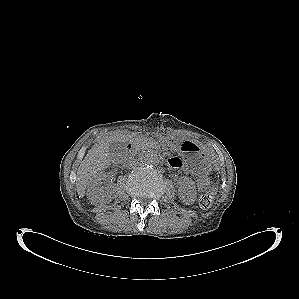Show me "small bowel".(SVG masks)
<instances>
[{"instance_id": "obj_1", "label": "small bowel", "mask_w": 299, "mask_h": 299, "mask_svg": "<svg viewBox=\"0 0 299 299\" xmlns=\"http://www.w3.org/2000/svg\"><path fill=\"white\" fill-rule=\"evenodd\" d=\"M169 164L174 168H178L181 166V161L178 158H171Z\"/></svg>"}]
</instances>
